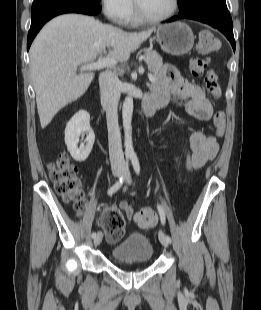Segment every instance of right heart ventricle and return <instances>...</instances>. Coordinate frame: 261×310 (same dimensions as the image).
<instances>
[{
	"label": "right heart ventricle",
	"mask_w": 261,
	"mask_h": 310,
	"mask_svg": "<svg viewBox=\"0 0 261 310\" xmlns=\"http://www.w3.org/2000/svg\"><path fill=\"white\" fill-rule=\"evenodd\" d=\"M138 23H139V21L137 20L134 12H132L131 15L129 16L128 20L126 21V24L137 25Z\"/></svg>",
	"instance_id": "obj_1"
}]
</instances>
